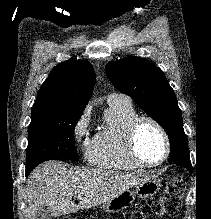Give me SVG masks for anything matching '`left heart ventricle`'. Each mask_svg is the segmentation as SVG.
<instances>
[{
  "label": "left heart ventricle",
  "instance_id": "obj_1",
  "mask_svg": "<svg viewBox=\"0 0 211 219\" xmlns=\"http://www.w3.org/2000/svg\"><path fill=\"white\" fill-rule=\"evenodd\" d=\"M164 140L158 129L149 122H143L137 131V150L147 163H157L164 155Z\"/></svg>",
  "mask_w": 211,
  "mask_h": 219
}]
</instances>
